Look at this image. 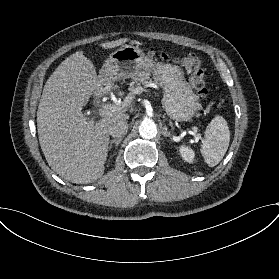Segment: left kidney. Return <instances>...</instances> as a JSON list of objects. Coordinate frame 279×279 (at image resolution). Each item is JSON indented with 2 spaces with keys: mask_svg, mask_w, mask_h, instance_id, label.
Instances as JSON below:
<instances>
[{
  "mask_svg": "<svg viewBox=\"0 0 279 279\" xmlns=\"http://www.w3.org/2000/svg\"><path fill=\"white\" fill-rule=\"evenodd\" d=\"M179 152L183 158L188 163H193L194 157H195V152L188 146L181 145L179 147Z\"/></svg>",
  "mask_w": 279,
  "mask_h": 279,
  "instance_id": "1",
  "label": "left kidney"
}]
</instances>
